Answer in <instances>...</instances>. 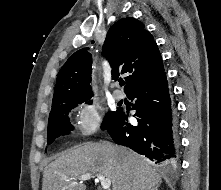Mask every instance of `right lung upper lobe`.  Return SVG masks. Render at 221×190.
Returning <instances> with one entry per match:
<instances>
[{
    "label": "right lung upper lobe",
    "mask_w": 221,
    "mask_h": 190,
    "mask_svg": "<svg viewBox=\"0 0 221 190\" xmlns=\"http://www.w3.org/2000/svg\"><path fill=\"white\" fill-rule=\"evenodd\" d=\"M103 55L112 67V79L126 74V95L164 73L161 54L152 35L135 18H123L109 29ZM92 57L87 48L72 54L57 75L52 105L69 101H87L91 91Z\"/></svg>",
    "instance_id": "obj_1"
}]
</instances>
